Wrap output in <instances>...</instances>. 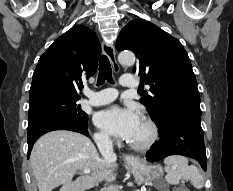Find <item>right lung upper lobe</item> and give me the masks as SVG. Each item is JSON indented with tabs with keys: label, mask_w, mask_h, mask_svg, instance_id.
Returning a JSON list of instances; mask_svg holds the SVG:
<instances>
[{
	"label": "right lung upper lobe",
	"mask_w": 233,
	"mask_h": 191,
	"mask_svg": "<svg viewBox=\"0 0 233 191\" xmlns=\"http://www.w3.org/2000/svg\"><path fill=\"white\" fill-rule=\"evenodd\" d=\"M100 53L97 36L88 27L73 26L40 57L29 99L44 93L80 98L77 85L95 73Z\"/></svg>",
	"instance_id": "1"
}]
</instances>
